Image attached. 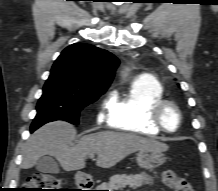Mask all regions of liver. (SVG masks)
<instances>
[{
  "label": "liver",
  "mask_w": 218,
  "mask_h": 191,
  "mask_svg": "<svg viewBox=\"0 0 218 191\" xmlns=\"http://www.w3.org/2000/svg\"><path fill=\"white\" fill-rule=\"evenodd\" d=\"M74 126L64 121L48 123L27 141L21 167L32 168L44 155L55 157L66 171L80 170L85 167L88 155L97 154L96 165L110 168L126 156L141 150L165 152L168 146L154 139L135 134L102 131L83 136L77 144Z\"/></svg>",
  "instance_id": "liver-1"
}]
</instances>
